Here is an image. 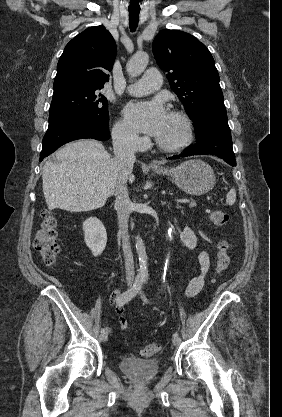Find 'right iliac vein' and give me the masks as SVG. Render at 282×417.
<instances>
[{
	"label": "right iliac vein",
	"instance_id": "obj_1",
	"mask_svg": "<svg viewBox=\"0 0 282 417\" xmlns=\"http://www.w3.org/2000/svg\"><path fill=\"white\" fill-rule=\"evenodd\" d=\"M108 338L107 333H101L99 336L100 341H106Z\"/></svg>",
	"mask_w": 282,
	"mask_h": 417
}]
</instances>
